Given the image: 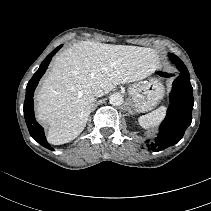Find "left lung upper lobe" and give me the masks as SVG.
Segmentation results:
<instances>
[{
  "label": "left lung upper lobe",
  "instance_id": "1",
  "mask_svg": "<svg viewBox=\"0 0 211 211\" xmlns=\"http://www.w3.org/2000/svg\"><path fill=\"white\" fill-rule=\"evenodd\" d=\"M169 57H170V60H171L174 64H176V66H180V65L185 66L184 63H183L176 55H174V54H172V53H169Z\"/></svg>",
  "mask_w": 211,
  "mask_h": 211
}]
</instances>
